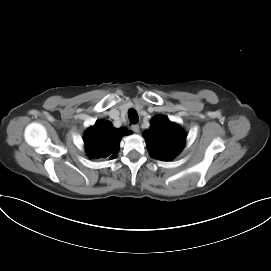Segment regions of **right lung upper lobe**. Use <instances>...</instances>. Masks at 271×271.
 Returning <instances> with one entry per match:
<instances>
[{
  "label": "right lung upper lobe",
  "instance_id": "right-lung-upper-lobe-1",
  "mask_svg": "<svg viewBox=\"0 0 271 271\" xmlns=\"http://www.w3.org/2000/svg\"><path fill=\"white\" fill-rule=\"evenodd\" d=\"M130 133L125 128H114L109 121H98L84 135L88 156L90 158L115 157L119 150L121 137Z\"/></svg>",
  "mask_w": 271,
  "mask_h": 271
}]
</instances>
